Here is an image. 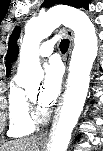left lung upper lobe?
<instances>
[{
    "instance_id": "left-lung-upper-lobe-1",
    "label": "left lung upper lobe",
    "mask_w": 103,
    "mask_h": 151,
    "mask_svg": "<svg viewBox=\"0 0 103 151\" xmlns=\"http://www.w3.org/2000/svg\"><path fill=\"white\" fill-rule=\"evenodd\" d=\"M90 0H45L42 6L44 7H51L55 4H64V5H70L76 8H85L86 10L88 9V4Z\"/></svg>"
}]
</instances>
